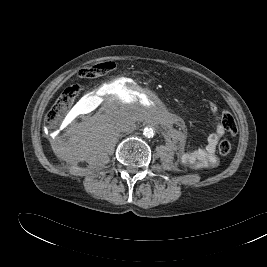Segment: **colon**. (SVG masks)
Listing matches in <instances>:
<instances>
[{
    "instance_id": "obj_1",
    "label": "colon",
    "mask_w": 267,
    "mask_h": 267,
    "mask_svg": "<svg viewBox=\"0 0 267 267\" xmlns=\"http://www.w3.org/2000/svg\"><path fill=\"white\" fill-rule=\"evenodd\" d=\"M111 68L112 66L110 62L100 63L82 68L79 72V76L82 78H95L103 75ZM78 92L79 87L77 85H70L63 90L58 99L46 113L45 122L48 127H55L62 121L74 103ZM222 123L229 133L234 134L236 132V121L230 112L224 111L222 113ZM218 150L223 156L229 154L231 151V143L226 139L222 140L219 143Z\"/></svg>"
}]
</instances>
